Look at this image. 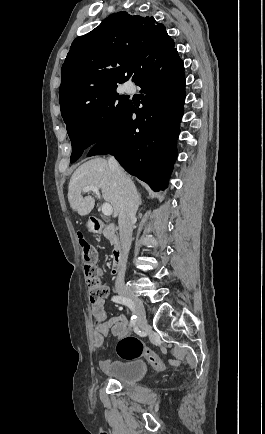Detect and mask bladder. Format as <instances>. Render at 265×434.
Returning a JSON list of instances; mask_svg holds the SVG:
<instances>
[{"label":"bladder","instance_id":"31cf9c89","mask_svg":"<svg viewBox=\"0 0 265 434\" xmlns=\"http://www.w3.org/2000/svg\"><path fill=\"white\" fill-rule=\"evenodd\" d=\"M147 372V364L138 359L115 362L108 368L111 377L125 384L137 383Z\"/></svg>","mask_w":265,"mask_h":434}]
</instances>
